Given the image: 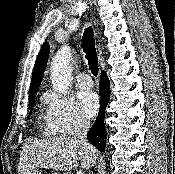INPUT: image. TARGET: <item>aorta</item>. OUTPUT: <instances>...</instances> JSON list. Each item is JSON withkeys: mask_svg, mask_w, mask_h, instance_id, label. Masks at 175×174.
<instances>
[{"mask_svg": "<svg viewBox=\"0 0 175 174\" xmlns=\"http://www.w3.org/2000/svg\"><path fill=\"white\" fill-rule=\"evenodd\" d=\"M71 59V49L67 46H63L52 60L51 81L53 87L59 93H66L69 89L71 83Z\"/></svg>", "mask_w": 175, "mask_h": 174, "instance_id": "obj_1", "label": "aorta"}]
</instances>
